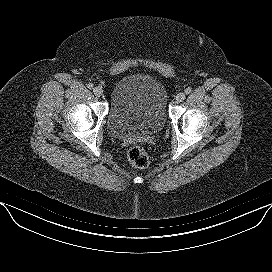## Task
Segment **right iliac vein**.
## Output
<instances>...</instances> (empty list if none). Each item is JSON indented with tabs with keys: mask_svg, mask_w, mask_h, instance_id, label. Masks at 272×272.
Returning a JSON list of instances; mask_svg holds the SVG:
<instances>
[{
	"mask_svg": "<svg viewBox=\"0 0 272 272\" xmlns=\"http://www.w3.org/2000/svg\"><path fill=\"white\" fill-rule=\"evenodd\" d=\"M93 93H94L96 96L100 97V96L103 94V90H102L101 87H95V88L93 89Z\"/></svg>",
	"mask_w": 272,
	"mask_h": 272,
	"instance_id": "63e3f726",
	"label": "right iliac vein"
}]
</instances>
